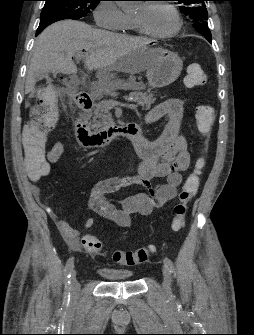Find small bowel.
I'll return each instance as SVG.
<instances>
[{"label": "small bowel", "instance_id": "c3829d8e", "mask_svg": "<svg viewBox=\"0 0 254 335\" xmlns=\"http://www.w3.org/2000/svg\"><path fill=\"white\" fill-rule=\"evenodd\" d=\"M183 114L184 101L178 98L167 99L150 110L146 117L147 122L152 123L168 116V124L157 138L149 140L142 134L140 139L133 142L140 158L136 174L107 178L94 186L88 200V206L93 212L119 227L127 228L131 225L132 215H149L154 209L176 198L183 181V173L190 165L187 141L181 133ZM63 152L64 146L60 141H56L49 149L45 159L48 160L50 171V165L58 162ZM156 178H164L165 182L152 184ZM30 179L37 181L40 178ZM131 185L143 186L148 191L126 197L120 207L106 198V194ZM50 214L68 247L79 249V230L73 228L64 217L59 218L53 212ZM84 225L86 228L92 227L94 219L88 217ZM88 236L90 235L84 237Z\"/></svg>", "mask_w": 254, "mask_h": 335}]
</instances>
